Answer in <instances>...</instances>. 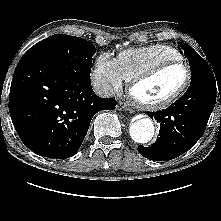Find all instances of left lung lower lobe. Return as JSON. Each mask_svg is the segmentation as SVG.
<instances>
[{"label": "left lung lower lobe", "instance_id": "left-lung-lower-lobe-1", "mask_svg": "<svg viewBox=\"0 0 221 221\" xmlns=\"http://www.w3.org/2000/svg\"><path fill=\"white\" fill-rule=\"evenodd\" d=\"M218 95L221 98V79L210 77L190 85L167 109L146 112L160 123L159 137L149 147L139 146L138 152L150 160L167 161L188 151L204 134Z\"/></svg>", "mask_w": 221, "mask_h": 221}]
</instances>
